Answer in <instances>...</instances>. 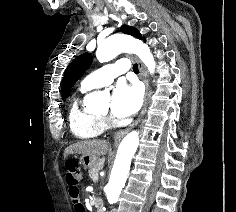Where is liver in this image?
<instances>
[{
	"instance_id": "liver-1",
	"label": "liver",
	"mask_w": 236,
	"mask_h": 212,
	"mask_svg": "<svg viewBox=\"0 0 236 212\" xmlns=\"http://www.w3.org/2000/svg\"><path fill=\"white\" fill-rule=\"evenodd\" d=\"M110 147L109 142L105 140H85L70 145L65 149L64 158L69 154H83L99 157L106 155Z\"/></svg>"
}]
</instances>
